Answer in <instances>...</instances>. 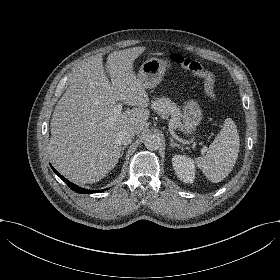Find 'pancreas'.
I'll return each instance as SVG.
<instances>
[{"instance_id":"obj_1","label":"pancreas","mask_w":280,"mask_h":280,"mask_svg":"<svg viewBox=\"0 0 280 280\" xmlns=\"http://www.w3.org/2000/svg\"><path fill=\"white\" fill-rule=\"evenodd\" d=\"M150 108L161 117H168L172 114L170 125L174 128L184 130L185 129V118L182 113L181 107L176 103L172 102L168 97H153L150 101Z\"/></svg>"}]
</instances>
